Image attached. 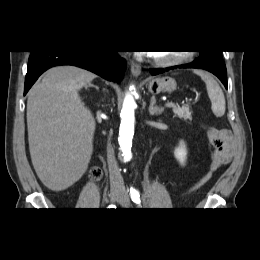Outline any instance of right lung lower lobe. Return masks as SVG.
<instances>
[{"label":"right lung lower lobe","instance_id":"obj_1","mask_svg":"<svg viewBox=\"0 0 260 260\" xmlns=\"http://www.w3.org/2000/svg\"><path fill=\"white\" fill-rule=\"evenodd\" d=\"M57 65L78 66L110 81H120L126 69L125 60L116 51H31L24 95L44 71Z\"/></svg>","mask_w":260,"mask_h":260}]
</instances>
